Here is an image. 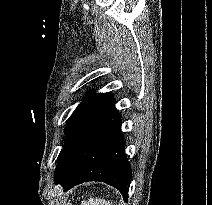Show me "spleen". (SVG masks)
Masks as SVG:
<instances>
[{
    "instance_id": "3e777b00",
    "label": "spleen",
    "mask_w": 212,
    "mask_h": 205,
    "mask_svg": "<svg viewBox=\"0 0 212 205\" xmlns=\"http://www.w3.org/2000/svg\"><path fill=\"white\" fill-rule=\"evenodd\" d=\"M81 205H112V202L101 198H90L81 202Z\"/></svg>"
}]
</instances>
